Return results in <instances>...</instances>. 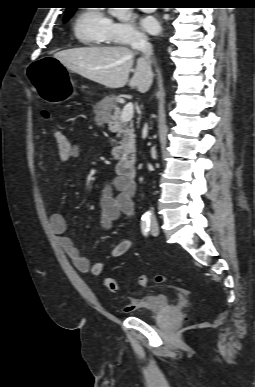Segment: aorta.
<instances>
[{
  "label": "aorta",
  "instance_id": "obj_1",
  "mask_svg": "<svg viewBox=\"0 0 255 387\" xmlns=\"http://www.w3.org/2000/svg\"><path fill=\"white\" fill-rule=\"evenodd\" d=\"M130 8H110L109 13L120 21H125L130 16Z\"/></svg>",
  "mask_w": 255,
  "mask_h": 387
}]
</instances>
